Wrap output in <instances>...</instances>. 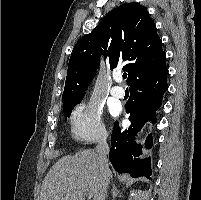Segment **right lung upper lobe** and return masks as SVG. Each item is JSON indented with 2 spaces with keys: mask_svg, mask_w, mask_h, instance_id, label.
Segmentation results:
<instances>
[{
  "mask_svg": "<svg viewBox=\"0 0 201 200\" xmlns=\"http://www.w3.org/2000/svg\"><path fill=\"white\" fill-rule=\"evenodd\" d=\"M102 54L111 69L124 64L129 85L160 70L166 60L147 9L134 2L123 4L76 43L68 64L63 101L84 97Z\"/></svg>",
  "mask_w": 201,
  "mask_h": 200,
  "instance_id": "obj_1",
  "label": "right lung upper lobe"
}]
</instances>
